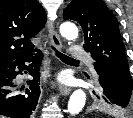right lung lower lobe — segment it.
<instances>
[{
  "mask_svg": "<svg viewBox=\"0 0 133 118\" xmlns=\"http://www.w3.org/2000/svg\"><path fill=\"white\" fill-rule=\"evenodd\" d=\"M37 59L31 53L0 68V115L11 118H30L40 95ZM31 61H34L31 65H25V62ZM24 70L33 77V80L27 81L28 88H24L14 80L16 75Z\"/></svg>",
  "mask_w": 133,
  "mask_h": 118,
  "instance_id": "right-lung-lower-lobe-1",
  "label": "right lung lower lobe"
}]
</instances>
